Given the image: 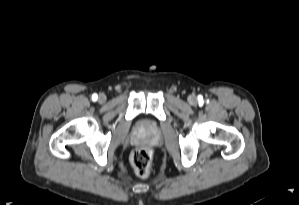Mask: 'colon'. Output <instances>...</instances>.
<instances>
[{
    "instance_id": "5ec220e1",
    "label": "colon",
    "mask_w": 299,
    "mask_h": 205,
    "mask_svg": "<svg viewBox=\"0 0 299 205\" xmlns=\"http://www.w3.org/2000/svg\"><path fill=\"white\" fill-rule=\"evenodd\" d=\"M130 161L135 174L140 178L148 177L151 169L152 156L148 149L137 148L130 156Z\"/></svg>"
}]
</instances>
